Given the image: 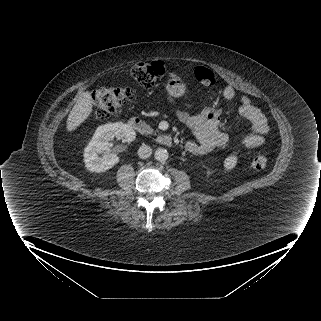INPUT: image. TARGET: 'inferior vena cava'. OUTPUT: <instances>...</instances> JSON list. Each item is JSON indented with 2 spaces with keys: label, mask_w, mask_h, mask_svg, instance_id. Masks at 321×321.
<instances>
[{
  "label": "inferior vena cava",
  "mask_w": 321,
  "mask_h": 321,
  "mask_svg": "<svg viewBox=\"0 0 321 321\" xmlns=\"http://www.w3.org/2000/svg\"><path fill=\"white\" fill-rule=\"evenodd\" d=\"M151 154H152V149L148 145L142 144L138 149V156L141 159H146V158L150 157Z\"/></svg>",
  "instance_id": "602c4592"
}]
</instances>
